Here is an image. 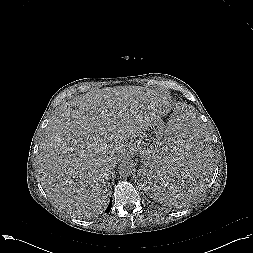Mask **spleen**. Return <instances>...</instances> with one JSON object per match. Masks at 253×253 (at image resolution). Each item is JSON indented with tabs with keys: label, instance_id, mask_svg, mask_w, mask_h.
I'll return each mask as SVG.
<instances>
[{
	"label": "spleen",
	"instance_id": "1",
	"mask_svg": "<svg viewBox=\"0 0 253 253\" xmlns=\"http://www.w3.org/2000/svg\"><path fill=\"white\" fill-rule=\"evenodd\" d=\"M210 165L206 121L199 112L183 109L171 117L168 132L155 140L140 172L139 184L157 202L182 203L205 185Z\"/></svg>",
	"mask_w": 253,
	"mask_h": 253
}]
</instances>
